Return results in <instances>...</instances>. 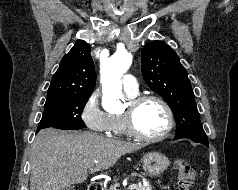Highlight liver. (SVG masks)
<instances>
[{
	"label": "liver",
	"instance_id": "obj_1",
	"mask_svg": "<svg viewBox=\"0 0 238 190\" xmlns=\"http://www.w3.org/2000/svg\"><path fill=\"white\" fill-rule=\"evenodd\" d=\"M141 148L90 132L43 129L31 147L30 190H62L83 183L88 169L91 173L109 169L122 155Z\"/></svg>",
	"mask_w": 238,
	"mask_h": 190
}]
</instances>
